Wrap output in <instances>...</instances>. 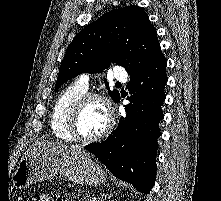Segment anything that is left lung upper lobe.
Masks as SVG:
<instances>
[{
    "label": "left lung upper lobe",
    "instance_id": "5c2ea615",
    "mask_svg": "<svg viewBox=\"0 0 221 201\" xmlns=\"http://www.w3.org/2000/svg\"><path fill=\"white\" fill-rule=\"evenodd\" d=\"M157 31L143 9L127 6L103 14L88 24L68 46L61 64L55 91L81 73H100L116 63L130 77L143 72L160 55ZM105 85L108 83L105 80ZM116 102L117 90H109Z\"/></svg>",
    "mask_w": 221,
    "mask_h": 201
}]
</instances>
